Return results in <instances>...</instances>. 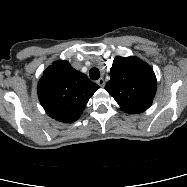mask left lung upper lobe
Listing matches in <instances>:
<instances>
[{"label": "left lung upper lobe", "mask_w": 187, "mask_h": 187, "mask_svg": "<svg viewBox=\"0 0 187 187\" xmlns=\"http://www.w3.org/2000/svg\"><path fill=\"white\" fill-rule=\"evenodd\" d=\"M105 89L126 113L147 110L156 93L157 81L153 69L141 59L116 57Z\"/></svg>", "instance_id": "obj_1"}]
</instances>
